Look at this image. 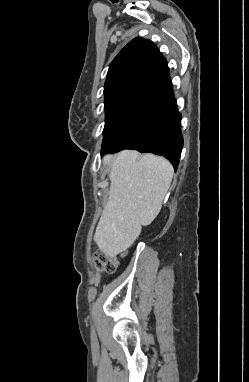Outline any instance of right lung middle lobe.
<instances>
[{
	"label": "right lung middle lobe",
	"instance_id": "dd1d6c3e",
	"mask_svg": "<svg viewBox=\"0 0 249 382\" xmlns=\"http://www.w3.org/2000/svg\"><path fill=\"white\" fill-rule=\"evenodd\" d=\"M151 104L146 101L128 100L104 107L106 117L102 146L123 133Z\"/></svg>",
	"mask_w": 249,
	"mask_h": 382
}]
</instances>
